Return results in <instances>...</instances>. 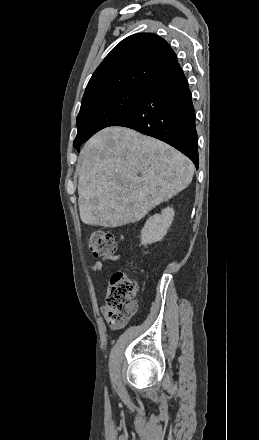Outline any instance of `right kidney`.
Returning <instances> with one entry per match:
<instances>
[{
  "label": "right kidney",
  "mask_w": 259,
  "mask_h": 440,
  "mask_svg": "<svg viewBox=\"0 0 259 440\" xmlns=\"http://www.w3.org/2000/svg\"><path fill=\"white\" fill-rule=\"evenodd\" d=\"M174 214L173 208L167 207L161 214L150 217L141 230V244L147 246L162 240L167 234Z\"/></svg>",
  "instance_id": "obj_1"
}]
</instances>
